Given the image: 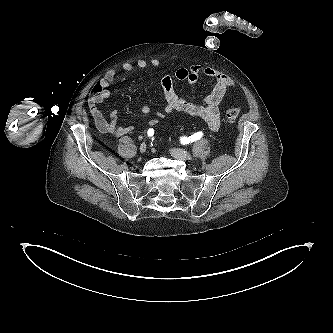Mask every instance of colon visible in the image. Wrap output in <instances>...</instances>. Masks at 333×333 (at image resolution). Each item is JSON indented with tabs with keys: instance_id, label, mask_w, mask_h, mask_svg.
Segmentation results:
<instances>
[{
	"instance_id": "5ec220e1",
	"label": "colon",
	"mask_w": 333,
	"mask_h": 333,
	"mask_svg": "<svg viewBox=\"0 0 333 333\" xmlns=\"http://www.w3.org/2000/svg\"><path fill=\"white\" fill-rule=\"evenodd\" d=\"M99 92V88L97 86H95L93 88L92 93H98ZM240 115V109L237 107H230L229 109H227L226 113H225V118L227 121L229 122H233L235 121L238 116Z\"/></svg>"
}]
</instances>
